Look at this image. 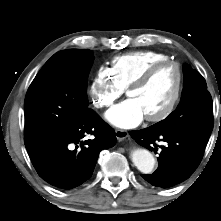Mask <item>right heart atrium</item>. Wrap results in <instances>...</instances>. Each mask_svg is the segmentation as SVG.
<instances>
[{
	"mask_svg": "<svg viewBox=\"0 0 221 221\" xmlns=\"http://www.w3.org/2000/svg\"><path fill=\"white\" fill-rule=\"evenodd\" d=\"M124 89L116 82L108 68L99 67L89 87L92 104L98 109L111 107Z\"/></svg>",
	"mask_w": 221,
	"mask_h": 221,
	"instance_id": "1",
	"label": "right heart atrium"
}]
</instances>
